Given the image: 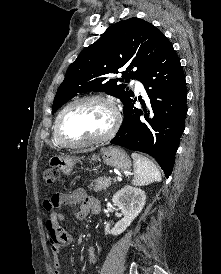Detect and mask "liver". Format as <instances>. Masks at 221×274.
I'll return each instance as SVG.
<instances>
[{"instance_id":"liver-1","label":"liver","mask_w":221,"mask_h":274,"mask_svg":"<svg viewBox=\"0 0 221 274\" xmlns=\"http://www.w3.org/2000/svg\"><path fill=\"white\" fill-rule=\"evenodd\" d=\"M87 151H91V149H90V150H85V151H83V152H87Z\"/></svg>"}]
</instances>
